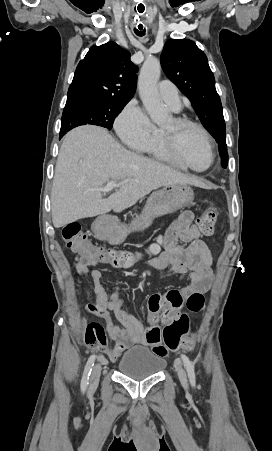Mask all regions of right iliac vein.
I'll return each instance as SVG.
<instances>
[{
  "label": "right iliac vein",
  "mask_w": 272,
  "mask_h": 451,
  "mask_svg": "<svg viewBox=\"0 0 272 451\" xmlns=\"http://www.w3.org/2000/svg\"><path fill=\"white\" fill-rule=\"evenodd\" d=\"M100 374H101V365L97 364V365H95V367L93 368V371L91 373L90 386H89L90 391H93L95 386L98 384Z\"/></svg>",
  "instance_id": "63e3f726"
}]
</instances>
